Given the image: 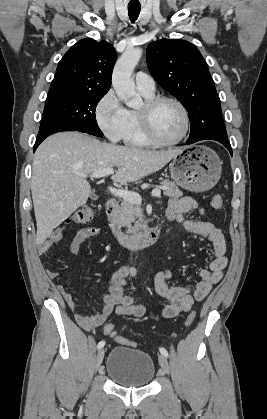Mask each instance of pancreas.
Instances as JSON below:
<instances>
[{"label":"pancreas","instance_id":"obj_1","mask_svg":"<svg viewBox=\"0 0 267 419\" xmlns=\"http://www.w3.org/2000/svg\"><path fill=\"white\" fill-rule=\"evenodd\" d=\"M161 185L165 187V196L179 198L183 195L182 191L172 181L162 180ZM136 218H139V221L143 220L142 210L134 203L123 200L120 207L113 213L112 222L120 228L127 227L128 233H132L135 228L131 227V224L135 222Z\"/></svg>","mask_w":267,"mask_h":419}]
</instances>
